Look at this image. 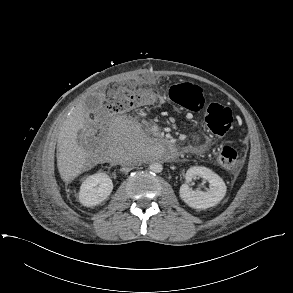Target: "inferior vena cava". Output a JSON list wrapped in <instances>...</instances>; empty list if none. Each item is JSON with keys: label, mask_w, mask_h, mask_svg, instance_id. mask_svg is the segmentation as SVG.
Listing matches in <instances>:
<instances>
[{"label": "inferior vena cava", "mask_w": 293, "mask_h": 293, "mask_svg": "<svg viewBox=\"0 0 293 293\" xmlns=\"http://www.w3.org/2000/svg\"><path fill=\"white\" fill-rule=\"evenodd\" d=\"M133 164H134V162L127 163L126 165H124L121 168V171H123V172H129V171H131L133 169Z\"/></svg>", "instance_id": "1"}]
</instances>
